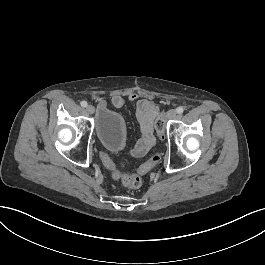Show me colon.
Here are the masks:
<instances>
[{
    "label": "colon",
    "mask_w": 265,
    "mask_h": 265,
    "mask_svg": "<svg viewBox=\"0 0 265 265\" xmlns=\"http://www.w3.org/2000/svg\"><path fill=\"white\" fill-rule=\"evenodd\" d=\"M165 114L161 113L160 118L157 119L155 124V129L158 132V137H163L164 131V120ZM103 165L108 168L111 172V176L114 180L120 181L123 186L129 189L139 188L142 184V177L148 173L152 168H154L160 161V155L155 153L151 155L136 172H124L118 170L113 161L106 153H101L100 155Z\"/></svg>",
    "instance_id": "colon-1"
}]
</instances>
